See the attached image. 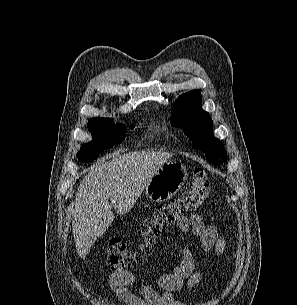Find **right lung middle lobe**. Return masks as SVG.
<instances>
[{
	"mask_svg": "<svg viewBox=\"0 0 297 305\" xmlns=\"http://www.w3.org/2000/svg\"><path fill=\"white\" fill-rule=\"evenodd\" d=\"M88 128L94 136V141L83 145L77 153L78 159L83 162L93 161L104 149L121 143L125 138V127L115 126L108 119L92 118L88 122Z\"/></svg>",
	"mask_w": 297,
	"mask_h": 305,
	"instance_id": "right-lung-middle-lobe-1",
	"label": "right lung middle lobe"
}]
</instances>
